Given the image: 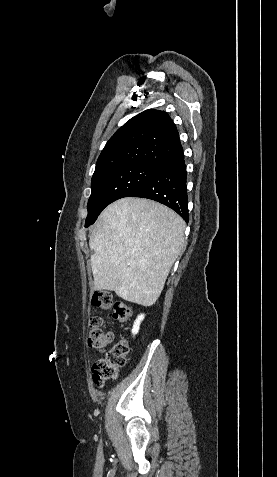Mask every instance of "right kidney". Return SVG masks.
Wrapping results in <instances>:
<instances>
[{
  "instance_id": "1",
  "label": "right kidney",
  "mask_w": 277,
  "mask_h": 477,
  "mask_svg": "<svg viewBox=\"0 0 277 477\" xmlns=\"http://www.w3.org/2000/svg\"><path fill=\"white\" fill-rule=\"evenodd\" d=\"M144 319V315L141 314L137 317V319L135 320L134 322V325H133V329H132V333L135 335L138 333L139 331V326H140V323L141 321Z\"/></svg>"
}]
</instances>
